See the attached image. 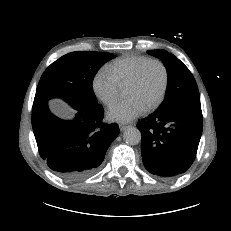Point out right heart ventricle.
Masks as SVG:
<instances>
[{
  "label": "right heart ventricle",
  "instance_id": "1",
  "mask_svg": "<svg viewBox=\"0 0 231 231\" xmlns=\"http://www.w3.org/2000/svg\"><path fill=\"white\" fill-rule=\"evenodd\" d=\"M151 58L144 55L128 54L115 59L105 68L116 80L120 89L127 87L138 68Z\"/></svg>",
  "mask_w": 231,
  "mask_h": 231
}]
</instances>
